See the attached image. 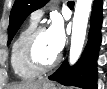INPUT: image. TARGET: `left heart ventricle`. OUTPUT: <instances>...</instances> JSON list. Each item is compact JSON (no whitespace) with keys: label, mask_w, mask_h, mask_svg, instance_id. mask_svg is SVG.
I'll return each instance as SVG.
<instances>
[{"label":"left heart ventricle","mask_w":107,"mask_h":89,"mask_svg":"<svg viewBox=\"0 0 107 89\" xmlns=\"http://www.w3.org/2000/svg\"><path fill=\"white\" fill-rule=\"evenodd\" d=\"M59 53L54 49L48 31L42 33L36 44V55L44 64H50Z\"/></svg>","instance_id":"left-heart-ventricle-1"}]
</instances>
